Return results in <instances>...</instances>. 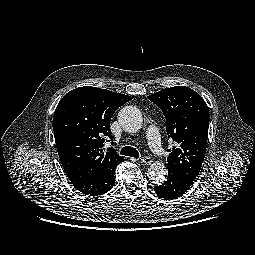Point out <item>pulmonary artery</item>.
Instances as JSON below:
<instances>
[{
	"label": "pulmonary artery",
	"instance_id": "e3ab8cb5",
	"mask_svg": "<svg viewBox=\"0 0 255 255\" xmlns=\"http://www.w3.org/2000/svg\"><path fill=\"white\" fill-rule=\"evenodd\" d=\"M146 138L155 153L161 150V141L158 128L155 125H149L146 130Z\"/></svg>",
	"mask_w": 255,
	"mask_h": 255
}]
</instances>
